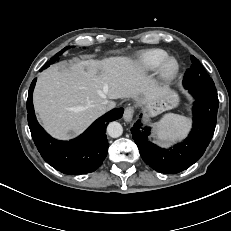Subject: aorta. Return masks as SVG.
Wrapping results in <instances>:
<instances>
[{
  "mask_svg": "<svg viewBox=\"0 0 231 231\" xmlns=\"http://www.w3.org/2000/svg\"><path fill=\"white\" fill-rule=\"evenodd\" d=\"M107 133L112 138H117L122 135L123 127L119 122H110L107 126Z\"/></svg>",
  "mask_w": 231,
  "mask_h": 231,
  "instance_id": "762f6f07",
  "label": "aorta"
}]
</instances>
